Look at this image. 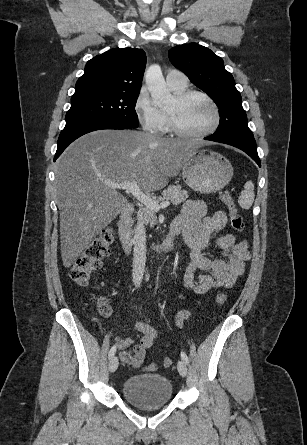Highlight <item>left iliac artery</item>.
Instances as JSON below:
<instances>
[{"label": "left iliac artery", "mask_w": 307, "mask_h": 445, "mask_svg": "<svg viewBox=\"0 0 307 445\" xmlns=\"http://www.w3.org/2000/svg\"><path fill=\"white\" fill-rule=\"evenodd\" d=\"M181 358H182V360L186 363V364H188L189 363V358H188V356L186 355V353L185 352H181Z\"/></svg>", "instance_id": "left-iliac-artery-1"}]
</instances>
